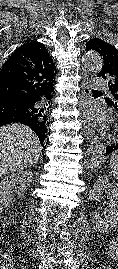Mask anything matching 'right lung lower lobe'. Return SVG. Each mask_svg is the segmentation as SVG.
I'll return each mask as SVG.
<instances>
[{
  "label": "right lung lower lobe",
  "mask_w": 118,
  "mask_h": 269,
  "mask_svg": "<svg viewBox=\"0 0 118 269\" xmlns=\"http://www.w3.org/2000/svg\"><path fill=\"white\" fill-rule=\"evenodd\" d=\"M37 109L38 104L33 98L16 95L0 96V126L19 122L32 128L31 124ZM45 140H40L41 144Z\"/></svg>",
  "instance_id": "right-lung-lower-lobe-1"
}]
</instances>
